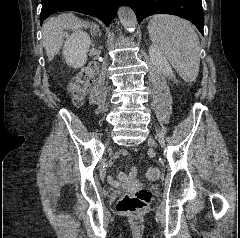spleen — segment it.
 Instances as JSON below:
<instances>
[{"instance_id": "obj_1", "label": "spleen", "mask_w": 240, "mask_h": 238, "mask_svg": "<svg viewBox=\"0 0 240 238\" xmlns=\"http://www.w3.org/2000/svg\"><path fill=\"white\" fill-rule=\"evenodd\" d=\"M148 33L157 47L186 82L199 73L200 42L189 22L170 15H155L149 21Z\"/></svg>"}]
</instances>
